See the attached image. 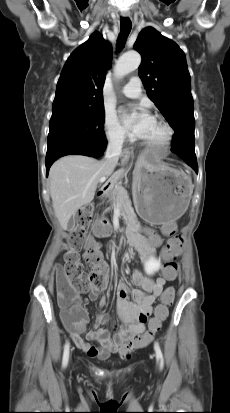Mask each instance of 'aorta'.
I'll return each mask as SVG.
<instances>
[{
	"instance_id": "762f6f07",
	"label": "aorta",
	"mask_w": 230,
	"mask_h": 413,
	"mask_svg": "<svg viewBox=\"0 0 230 413\" xmlns=\"http://www.w3.org/2000/svg\"><path fill=\"white\" fill-rule=\"evenodd\" d=\"M140 63L141 56L138 52H127L118 59L114 67V74L117 78H121L137 69Z\"/></svg>"
}]
</instances>
